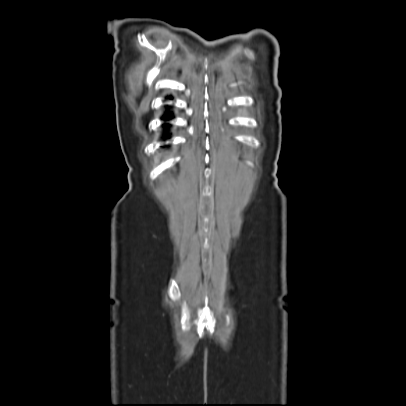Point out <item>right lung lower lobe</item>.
I'll return each instance as SVG.
<instances>
[{"instance_id":"right-lung-lower-lobe-1","label":"right lung lower lobe","mask_w":406,"mask_h":406,"mask_svg":"<svg viewBox=\"0 0 406 406\" xmlns=\"http://www.w3.org/2000/svg\"><path fill=\"white\" fill-rule=\"evenodd\" d=\"M170 117H171V115H169V116H168V115H167V116H165V118H166V119H169Z\"/></svg>"}]
</instances>
